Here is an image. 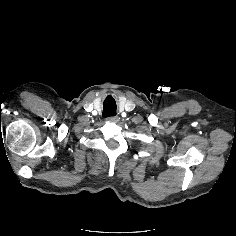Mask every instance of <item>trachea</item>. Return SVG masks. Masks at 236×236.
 <instances>
[{"label":"trachea","mask_w":236,"mask_h":236,"mask_svg":"<svg viewBox=\"0 0 236 236\" xmlns=\"http://www.w3.org/2000/svg\"><path fill=\"white\" fill-rule=\"evenodd\" d=\"M116 108L117 106L115 100L111 96H108L103 103L102 116L104 118L115 116Z\"/></svg>","instance_id":"3493384b"}]
</instances>
